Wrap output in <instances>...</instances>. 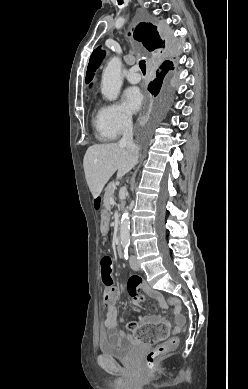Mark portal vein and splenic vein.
<instances>
[{
	"mask_svg": "<svg viewBox=\"0 0 248 389\" xmlns=\"http://www.w3.org/2000/svg\"><path fill=\"white\" fill-rule=\"evenodd\" d=\"M110 204H112V205L115 204V201H114V198H113V197L110 199Z\"/></svg>",
	"mask_w": 248,
	"mask_h": 389,
	"instance_id": "1",
	"label": "portal vein and splenic vein"
}]
</instances>
